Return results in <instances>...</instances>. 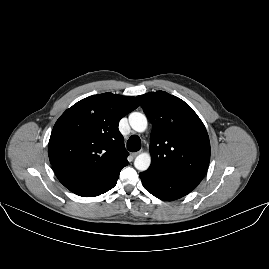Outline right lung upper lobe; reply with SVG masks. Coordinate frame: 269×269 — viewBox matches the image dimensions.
Masks as SVG:
<instances>
[{
	"label": "right lung upper lobe",
	"instance_id": "right-lung-upper-lobe-1",
	"mask_svg": "<svg viewBox=\"0 0 269 269\" xmlns=\"http://www.w3.org/2000/svg\"><path fill=\"white\" fill-rule=\"evenodd\" d=\"M138 106L135 97L103 93L77 102L61 115L48 155L66 188L102 181L128 164L118 124Z\"/></svg>",
	"mask_w": 269,
	"mask_h": 269
}]
</instances>
